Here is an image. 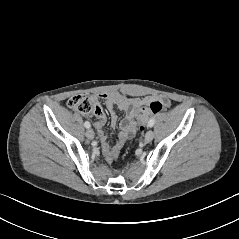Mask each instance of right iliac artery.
<instances>
[{"mask_svg":"<svg viewBox=\"0 0 239 239\" xmlns=\"http://www.w3.org/2000/svg\"><path fill=\"white\" fill-rule=\"evenodd\" d=\"M84 126L86 127V128H90V123L88 122V121H85V123H84Z\"/></svg>","mask_w":239,"mask_h":239,"instance_id":"obj_1","label":"right iliac artery"}]
</instances>
